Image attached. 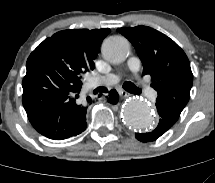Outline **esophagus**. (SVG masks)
I'll return each instance as SVG.
<instances>
[{"mask_svg": "<svg viewBox=\"0 0 215 183\" xmlns=\"http://www.w3.org/2000/svg\"><path fill=\"white\" fill-rule=\"evenodd\" d=\"M122 95H123L124 97H127V96H128V94H127V93H122Z\"/></svg>", "mask_w": 215, "mask_h": 183, "instance_id": "1", "label": "esophagus"}]
</instances>
